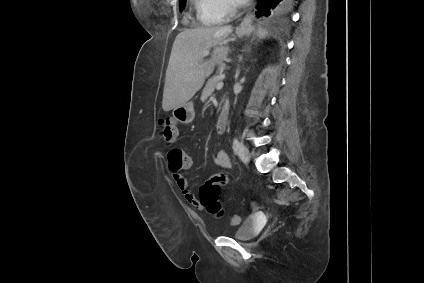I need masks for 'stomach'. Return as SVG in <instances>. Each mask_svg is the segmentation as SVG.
<instances>
[{
	"mask_svg": "<svg viewBox=\"0 0 424 283\" xmlns=\"http://www.w3.org/2000/svg\"><path fill=\"white\" fill-rule=\"evenodd\" d=\"M239 37H244L247 34V31L237 32ZM173 117L175 120L182 124H189L193 121L195 117L194 104L186 103L181 106L174 108Z\"/></svg>",
	"mask_w": 424,
	"mask_h": 283,
	"instance_id": "obj_1",
	"label": "stomach"
}]
</instances>
